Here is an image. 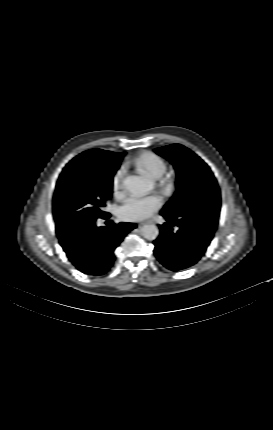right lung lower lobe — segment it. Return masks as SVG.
<instances>
[{"mask_svg": "<svg viewBox=\"0 0 273 430\" xmlns=\"http://www.w3.org/2000/svg\"><path fill=\"white\" fill-rule=\"evenodd\" d=\"M135 227L133 223L97 227L94 222L60 244L78 270L100 276L111 269L115 260L114 250Z\"/></svg>", "mask_w": 273, "mask_h": 430, "instance_id": "obj_1", "label": "right lung lower lobe"}]
</instances>
